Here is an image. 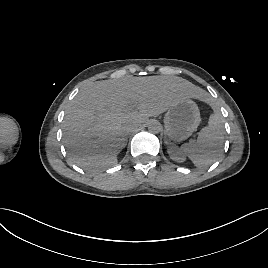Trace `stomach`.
<instances>
[{"label":"stomach","mask_w":268,"mask_h":268,"mask_svg":"<svg viewBox=\"0 0 268 268\" xmlns=\"http://www.w3.org/2000/svg\"><path fill=\"white\" fill-rule=\"evenodd\" d=\"M200 120L197 104L186 98L170 107L165 114L166 134L175 141L185 140L196 131Z\"/></svg>","instance_id":"obj_1"}]
</instances>
